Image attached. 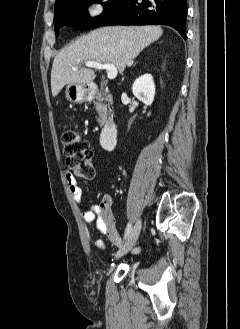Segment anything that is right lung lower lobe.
Listing matches in <instances>:
<instances>
[{
	"label": "right lung lower lobe",
	"mask_w": 240,
	"mask_h": 329,
	"mask_svg": "<svg viewBox=\"0 0 240 329\" xmlns=\"http://www.w3.org/2000/svg\"><path fill=\"white\" fill-rule=\"evenodd\" d=\"M186 0H125L102 25H154L175 28L185 39Z\"/></svg>",
	"instance_id": "right-lung-lower-lobe-1"
}]
</instances>
